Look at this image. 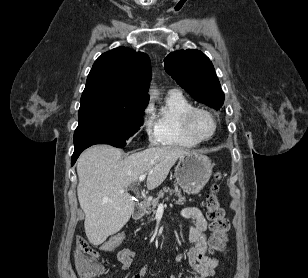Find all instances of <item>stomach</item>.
Wrapping results in <instances>:
<instances>
[{
  "label": "stomach",
  "mask_w": 308,
  "mask_h": 278,
  "mask_svg": "<svg viewBox=\"0 0 308 278\" xmlns=\"http://www.w3.org/2000/svg\"><path fill=\"white\" fill-rule=\"evenodd\" d=\"M212 168L211 160L207 156L190 152L179 158L175 167L176 181L185 192L196 194L209 181Z\"/></svg>",
  "instance_id": "0dacf381"
}]
</instances>
